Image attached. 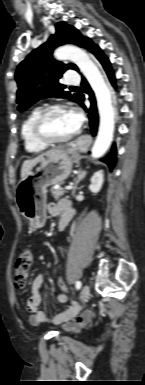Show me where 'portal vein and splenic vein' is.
I'll use <instances>...</instances> for the list:
<instances>
[{
  "mask_svg": "<svg viewBox=\"0 0 145 385\" xmlns=\"http://www.w3.org/2000/svg\"><path fill=\"white\" fill-rule=\"evenodd\" d=\"M72 188H73L72 185H68V186L65 187L66 190H71Z\"/></svg>",
  "mask_w": 145,
  "mask_h": 385,
  "instance_id": "1",
  "label": "portal vein and splenic vein"
}]
</instances>
